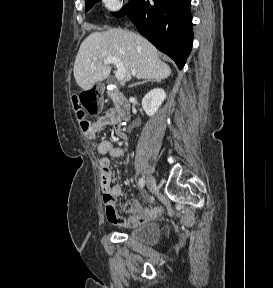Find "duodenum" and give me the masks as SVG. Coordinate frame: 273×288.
<instances>
[{
	"label": "duodenum",
	"instance_id": "1",
	"mask_svg": "<svg viewBox=\"0 0 273 288\" xmlns=\"http://www.w3.org/2000/svg\"><path fill=\"white\" fill-rule=\"evenodd\" d=\"M107 94L114 103L115 111L118 118L121 121H128L131 115V108L127 98L122 94L119 89L115 87L108 89Z\"/></svg>",
	"mask_w": 273,
	"mask_h": 288
}]
</instances>
